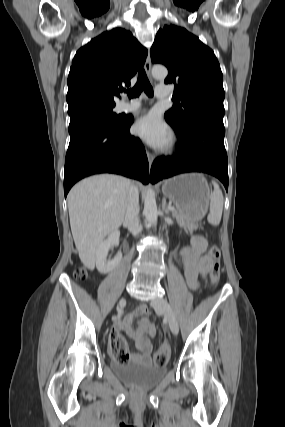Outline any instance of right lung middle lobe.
Returning <instances> with one entry per match:
<instances>
[{"mask_svg": "<svg viewBox=\"0 0 285 427\" xmlns=\"http://www.w3.org/2000/svg\"><path fill=\"white\" fill-rule=\"evenodd\" d=\"M114 106L115 105L89 106L78 112L69 114V133L73 132L79 126L91 122H99L111 127L122 125L124 123V117L112 112Z\"/></svg>", "mask_w": 285, "mask_h": 427, "instance_id": "obj_1", "label": "right lung middle lobe"}]
</instances>
